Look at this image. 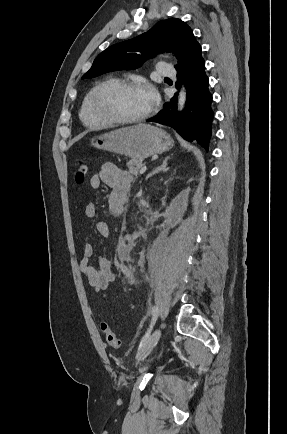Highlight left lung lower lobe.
Wrapping results in <instances>:
<instances>
[{"label":"left lung lower lobe","instance_id":"0a47b994","mask_svg":"<svg viewBox=\"0 0 287 434\" xmlns=\"http://www.w3.org/2000/svg\"><path fill=\"white\" fill-rule=\"evenodd\" d=\"M177 71L176 88L179 89L183 82L187 91L184 110L177 111L175 94L170 102L164 104L163 110L147 121L170 126L185 140L195 141L208 151L212 137V95L208 89L209 81L201 53L177 68Z\"/></svg>","mask_w":287,"mask_h":434}]
</instances>
